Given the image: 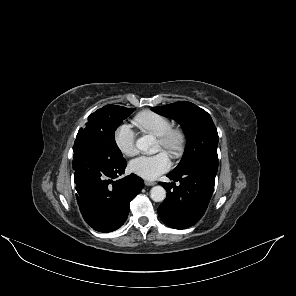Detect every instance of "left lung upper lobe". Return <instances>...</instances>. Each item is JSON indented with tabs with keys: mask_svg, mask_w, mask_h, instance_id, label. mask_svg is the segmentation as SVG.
I'll use <instances>...</instances> for the list:
<instances>
[{
	"mask_svg": "<svg viewBox=\"0 0 296 296\" xmlns=\"http://www.w3.org/2000/svg\"><path fill=\"white\" fill-rule=\"evenodd\" d=\"M153 111L177 120L187 137L186 148L178 166L170 173L203 162H218V133L211 116L187 101L152 108Z\"/></svg>",
	"mask_w": 296,
	"mask_h": 296,
	"instance_id": "obj_1",
	"label": "left lung upper lobe"
}]
</instances>
